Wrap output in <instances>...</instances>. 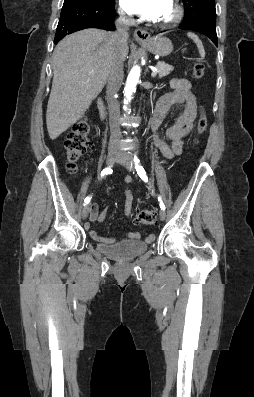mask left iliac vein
I'll return each mask as SVG.
<instances>
[{
	"instance_id": "left-iliac-vein-1",
	"label": "left iliac vein",
	"mask_w": 254,
	"mask_h": 397,
	"mask_svg": "<svg viewBox=\"0 0 254 397\" xmlns=\"http://www.w3.org/2000/svg\"><path fill=\"white\" fill-rule=\"evenodd\" d=\"M119 160L121 161V163H122L129 171H134V163H133V160H132L131 155H130L128 152H123V153H121V154H120ZM159 215H160V219H161L162 221H164L165 218H166V213H165V211L161 209Z\"/></svg>"
}]
</instances>
